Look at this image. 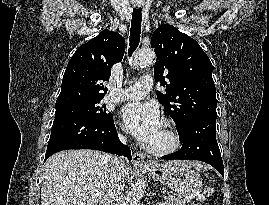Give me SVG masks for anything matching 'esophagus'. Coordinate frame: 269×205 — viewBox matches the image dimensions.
<instances>
[{"label":"esophagus","mask_w":269,"mask_h":205,"mask_svg":"<svg viewBox=\"0 0 269 205\" xmlns=\"http://www.w3.org/2000/svg\"><path fill=\"white\" fill-rule=\"evenodd\" d=\"M132 161L135 165H146L145 156L141 152H135L133 154Z\"/></svg>","instance_id":"1"}]
</instances>
